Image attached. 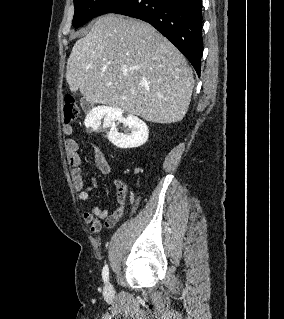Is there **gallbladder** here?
<instances>
[{
	"mask_svg": "<svg viewBox=\"0 0 284 319\" xmlns=\"http://www.w3.org/2000/svg\"><path fill=\"white\" fill-rule=\"evenodd\" d=\"M83 105L85 108H89L90 107V103H88L86 100L83 101Z\"/></svg>",
	"mask_w": 284,
	"mask_h": 319,
	"instance_id": "bac80fb5",
	"label": "gallbladder"
}]
</instances>
